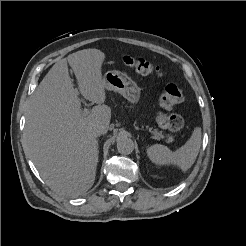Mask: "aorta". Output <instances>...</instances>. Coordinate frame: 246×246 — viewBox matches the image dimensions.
<instances>
[{"label":"aorta","mask_w":246,"mask_h":246,"mask_svg":"<svg viewBox=\"0 0 246 246\" xmlns=\"http://www.w3.org/2000/svg\"><path fill=\"white\" fill-rule=\"evenodd\" d=\"M117 150L120 154H131L134 150L133 140L126 134L119 135L117 137Z\"/></svg>","instance_id":"obj_1"}]
</instances>
